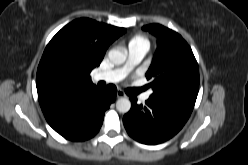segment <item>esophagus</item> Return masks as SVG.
<instances>
[{
  "label": "esophagus",
  "mask_w": 248,
  "mask_h": 165,
  "mask_svg": "<svg viewBox=\"0 0 248 165\" xmlns=\"http://www.w3.org/2000/svg\"><path fill=\"white\" fill-rule=\"evenodd\" d=\"M126 95H125V93L122 91V90H118L117 91V98H122V97H125Z\"/></svg>",
  "instance_id": "34e87169"
}]
</instances>
